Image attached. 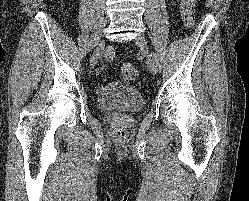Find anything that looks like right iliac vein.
<instances>
[{
    "label": "right iliac vein",
    "mask_w": 249,
    "mask_h": 201,
    "mask_svg": "<svg viewBox=\"0 0 249 201\" xmlns=\"http://www.w3.org/2000/svg\"><path fill=\"white\" fill-rule=\"evenodd\" d=\"M105 48V42L104 40L100 41V43L97 45L96 49L94 50L91 59H90V64L94 65L99 57L101 56L103 50Z\"/></svg>",
    "instance_id": "right-iliac-vein-1"
}]
</instances>
